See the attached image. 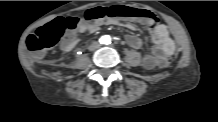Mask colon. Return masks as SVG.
Returning a JSON list of instances; mask_svg holds the SVG:
<instances>
[{
    "label": "colon",
    "instance_id": "colon-1",
    "mask_svg": "<svg viewBox=\"0 0 218 122\" xmlns=\"http://www.w3.org/2000/svg\"><path fill=\"white\" fill-rule=\"evenodd\" d=\"M104 16L107 17H121L131 16L135 18L144 19L150 25L157 23V18L148 10L145 9H128L123 6H112L105 11L95 9L89 12L88 19H100ZM79 23L76 18H58L49 25L40 28L33 37V46L38 51L49 50L56 45L60 36L66 27L75 29ZM174 60L173 55H166L165 59H161L159 63V70H166L167 66L172 65Z\"/></svg>",
    "mask_w": 218,
    "mask_h": 122
}]
</instances>
